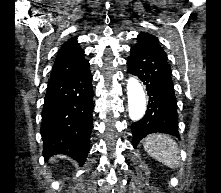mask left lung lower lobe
<instances>
[{
    "mask_svg": "<svg viewBox=\"0 0 221 193\" xmlns=\"http://www.w3.org/2000/svg\"><path fill=\"white\" fill-rule=\"evenodd\" d=\"M130 52L128 72L139 77L149 96L145 116L131 125L133 146L155 132L179 138L176 97L166 53L141 41H137Z\"/></svg>",
    "mask_w": 221,
    "mask_h": 193,
    "instance_id": "1",
    "label": "left lung lower lobe"
}]
</instances>
